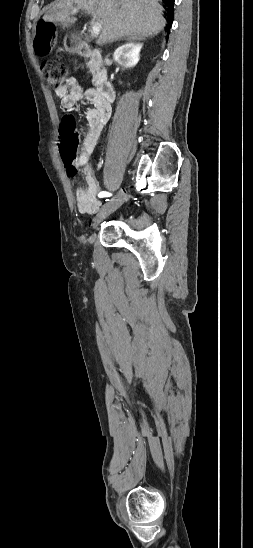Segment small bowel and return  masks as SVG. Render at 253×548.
<instances>
[{
  "label": "small bowel",
  "mask_w": 253,
  "mask_h": 548,
  "mask_svg": "<svg viewBox=\"0 0 253 548\" xmlns=\"http://www.w3.org/2000/svg\"><path fill=\"white\" fill-rule=\"evenodd\" d=\"M55 94L61 100L62 107L66 109L72 108L83 98L92 105L85 111L88 130L75 162L78 167L82 168L85 177V184L75 192V204L81 213L92 214L99 209L101 201L97 199L100 187L89 161L101 132L111 116V103L93 89L83 92L74 79H70L67 85L55 89Z\"/></svg>",
  "instance_id": "small-bowel-1"
}]
</instances>
